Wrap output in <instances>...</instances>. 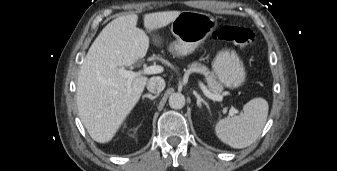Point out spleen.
<instances>
[{
	"label": "spleen",
	"instance_id": "spleen-1",
	"mask_svg": "<svg viewBox=\"0 0 337 171\" xmlns=\"http://www.w3.org/2000/svg\"><path fill=\"white\" fill-rule=\"evenodd\" d=\"M269 106L265 99L254 98L243 106V113L217 122L215 132L225 144L242 149L254 143L266 124Z\"/></svg>",
	"mask_w": 337,
	"mask_h": 171
}]
</instances>
